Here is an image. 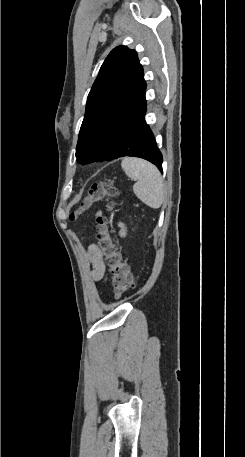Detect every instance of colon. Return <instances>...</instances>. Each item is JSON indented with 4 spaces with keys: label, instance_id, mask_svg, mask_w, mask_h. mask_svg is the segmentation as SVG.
<instances>
[{
    "label": "colon",
    "instance_id": "obj_1",
    "mask_svg": "<svg viewBox=\"0 0 245 457\" xmlns=\"http://www.w3.org/2000/svg\"><path fill=\"white\" fill-rule=\"evenodd\" d=\"M117 196L118 191L112 180L95 182L90 186L79 208L71 217L73 219L74 215L103 200L108 201L106 205L108 210H114ZM96 229L97 244L112 275L115 296L119 298L134 287V276L111 235L109 220L106 216L97 218Z\"/></svg>",
    "mask_w": 245,
    "mask_h": 457
}]
</instances>
